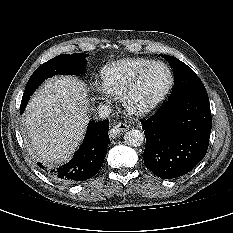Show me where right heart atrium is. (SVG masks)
<instances>
[{"instance_id": "right-heart-atrium-1", "label": "right heart atrium", "mask_w": 233, "mask_h": 233, "mask_svg": "<svg viewBox=\"0 0 233 233\" xmlns=\"http://www.w3.org/2000/svg\"><path fill=\"white\" fill-rule=\"evenodd\" d=\"M94 98L102 102H111L113 100L112 95L108 93L105 89H103L101 86L96 87V93L94 94Z\"/></svg>"}]
</instances>
